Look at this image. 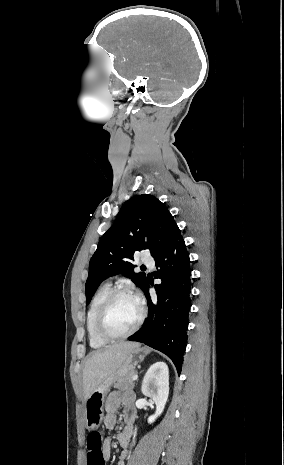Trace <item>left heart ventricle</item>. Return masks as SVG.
I'll return each mask as SVG.
<instances>
[{"label":"left heart ventricle","instance_id":"left-heart-ventricle-1","mask_svg":"<svg viewBox=\"0 0 284 465\" xmlns=\"http://www.w3.org/2000/svg\"><path fill=\"white\" fill-rule=\"evenodd\" d=\"M140 317L138 303L131 297L119 298L111 307L104 324V330L111 336L119 337L129 333Z\"/></svg>","mask_w":284,"mask_h":465}]
</instances>
